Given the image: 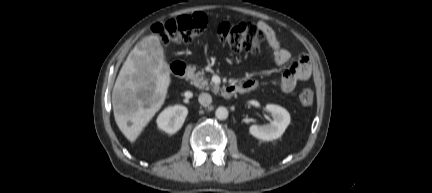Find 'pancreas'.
Returning a JSON list of instances; mask_svg holds the SVG:
<instances>
[{"instance_id": "obj_1", "label": "pancreas", "mask_w": 432, "mask_h": 193, "mask_svg": "<svg viewBox=\"0 0 432 193\" xmlns=\"http://www.w3.org/2000/svg\"><path fill=\"white\" fill-rule=\"evenodd\" d=\"M192 83L200 89L212 90L214 92L219 90L218 85L213 84L212 82L209 83V80L204 76L203 71H199L194 75Z\"/></svg>"}]
</instances>
